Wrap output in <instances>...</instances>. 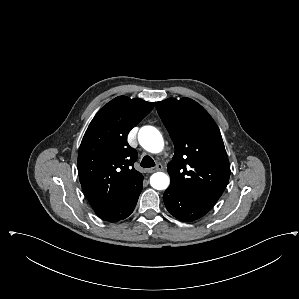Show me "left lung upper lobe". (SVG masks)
<instances>
[{
	"label": "left lung upper lobe",
	"mask_w": 299,
	"mask_h": 299,
	"mask_svg": "<svg viewBox=\"0 0 299 299\" xmlns=\"http://www.w3.org/2000/svg\"><path fill=\"white\" fill-rule=\"evenodd\" d=\"M156 108L175 146L167 165L171 184L212 208L230 177L221 133L208 112L190 98H168Z\"/></svg>",
	"instance_id": "left-lung-upper-lobe-1"
}]
</instances>
